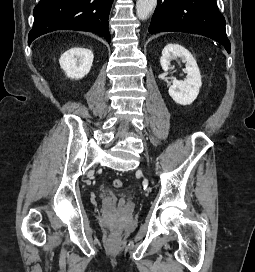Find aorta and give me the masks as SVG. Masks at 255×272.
Here are the masks:
<instances>
[{"label": "aorta", "instance_id": "1", "mask_svg": "<svg viewBox=\"0 0 255 272\" xmlns=\"http://www.w3.org/2000/svg\"><path fill=\"white\" fill-rule=\"evenodd\" d=\"M157 0H137L136 14L141 20L147 19L156 7Z\"/></svg>", "mask_w": 255, "mask_h": 272}]
</instances>
